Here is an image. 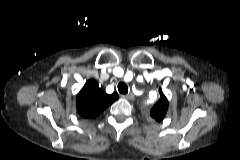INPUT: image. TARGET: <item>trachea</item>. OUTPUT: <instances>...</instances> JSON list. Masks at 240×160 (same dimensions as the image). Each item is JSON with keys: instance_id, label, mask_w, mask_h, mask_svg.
<instances>
[{"instance_id": "trachea-1", "label": "trachea", "mask_w": 240, "mask_h": 160, "mask_svg": "<svg viewBox=\"0 0 240 160\" xmlns=\"http://www.w3.org/2000/svg\"><path fill=\"white\" fill-rule=\"evenodd\" d=\"M118 91L121 93V94H126L128 92V86L123 83V82H120L118 84Z\"/></svg>"}]
</instances>
